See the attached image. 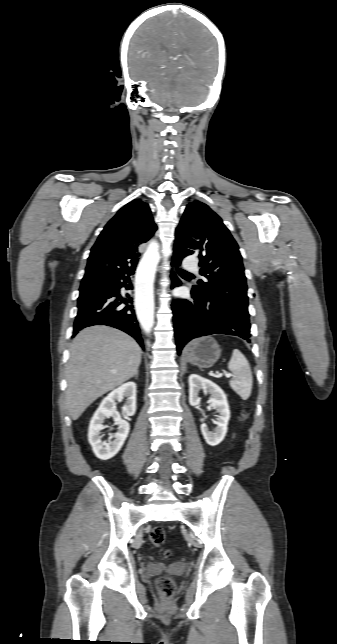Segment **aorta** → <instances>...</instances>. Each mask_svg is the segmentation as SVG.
Segmentation results:
<instances>
[{
	"label": "aorta",
	"instance_id": "1",
	"mask_svg": "<svg viewBox=\"0 0 337 644\" xmlns=\"http://www.w3.org/2000/svg\"><path fill=\"white\" fill-rule=\"evenodd\" d=\"M159 259L157 248L149 249L140 261L135 277L136 312L146 333H150L154 325L153 280Z\"/></svg>",
	"mask_w": 337,
	"mask_h": 644
}]
</instances>
